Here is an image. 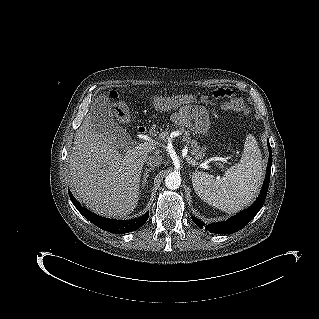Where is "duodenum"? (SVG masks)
Wrapping results in <instances>:
<instances>
[{"instance_id": "410a0bca", "label": "duodenum", "mask_w": 319, "mask_h": 319, "mask_svg": "<svg viewBox=\"0 0 319 319\" xmlns=\"http://www.w3.org/2000/svg\"><path fill=\"white\" fill-rule=\"evenodd\" d=\"M139 134H145L146 133V128L144 126H140L137 129Z\"/></svg>"}]
</instances>
